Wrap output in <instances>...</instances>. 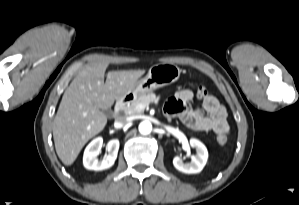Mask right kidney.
<instances>
[{
	"label": "right kidney",
	"instance_id": "right-kidney-1",
	"mask_svg": "<svg viewBox=\"0 0 299 205\" xmlns=\"http://www.w3.org/2000/svg\"><path fill=\"white\" fill-rule=\"evenodd\" d=\"M102 146V137H97L88 144L83 155V165L86 169L100 171L108 169L114 164L119 150V140H110L106 145L108 155H106L103 160H98L97 156Z\"/></svg>",
	"mask_w": 299,
	"mask_h": 205
}]
</instances>
